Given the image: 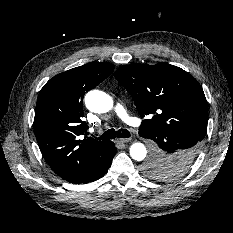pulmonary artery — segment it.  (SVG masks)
Masks as SVG:
<instances>
[{"instance_id":"1","label":"pulmonary artery","mask_w":233,"mask_h":233,"mask_svg":"<svg viewBox=\"0 0 233 233\" xmlns=\"http://www.w3.org/2000/svg\"><path fill=\"white\" fill-rule=\"evenodd\" d=\"M114 110H115L116 115L128 125H131L134 127L140 126V121L136 118L129 116L127 111L121 104L119 103L116 104Z\"/></svg>"}]
</instances>
